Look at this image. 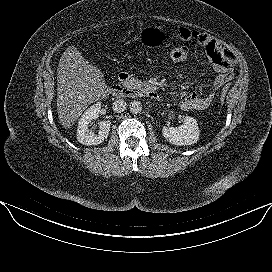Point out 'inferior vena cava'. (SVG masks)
<instances>
[{"instance_id":"1","label":"inferior vena cava","mask_w":272,"mask_h":272,"mask_svg":"<svg viewBox=\"0 0 272 272\" xmlns=\"http://www.w3.org/2000/svg\"><path fill=\"white\" fill-rule=\"evenodd\" d=\"M126 106H127V104L123 99H118L113 102V110L116 113H121V112L125 111Z\"/></svg>"}]
</instances>
